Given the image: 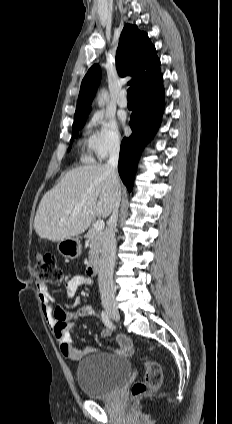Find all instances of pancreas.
<instances>
[{
	"label": "pancreas",
	"instance_id": "cf45deb5",
	"mask_svg": "<svg viewBox=\"0 0 232 424\" xmlns=\"http://www.w3.org/2000/svg\"><path fill=\"white\" fill-rule=\"evenodd\" d=\"M88 241L90 242V250H89V263H93L97 261L99 257V252L101 249L103 231L96 230L94 227H91L86 234Z\"/></svg>",
	"mask_w": 232,
	"mask_h": 424
}]
</instances>
